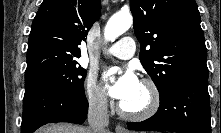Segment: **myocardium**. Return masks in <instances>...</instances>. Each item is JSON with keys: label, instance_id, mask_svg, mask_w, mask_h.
<instances>
[{"label": "myocardium", "instance_id": "obj_1", "mask_svg": "<svg viewBox=\"0 0 221 133\" xmlns=\"http://www.w3.org/2000/svg\"><path fill=\"white\" fill-rule=\"evenodd\" d=\"M141 84L147 89L149 94V100L147 105L138 111H130L126 109L123 103H120L118 112L125 118L130 120L141 121L152 117L160 107V91L156 83L150 78H144L141 80Z\"/></svg>", "mask_w": 221, "mask_h": 133}]
</instances>
